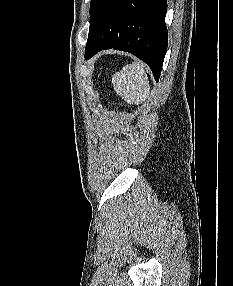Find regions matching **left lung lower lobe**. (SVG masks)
<instances>
[{"mask_svg":"<svg viewBox=\"0 0 233 286\" xmlns=\"http://www.w3.org/2000/svg\"><path fill=\"white\" fill-rule=\"evenodd\" d=\"M166 0H94L85 59L102 49L127 51L158 81L167 50Z\"/></svg>","mask_w":233,"mask_h":286,"instance_id":"obj_1","label":"left lung lower lobe"}]
</instances>
